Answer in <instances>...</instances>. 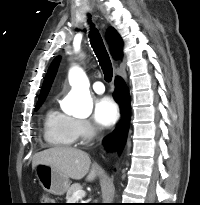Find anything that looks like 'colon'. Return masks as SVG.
<instances>
[{
	"instance_id": "1",
	"label": "colon",
	"mask_w": 200,
	"mask_h": 205,
	"mask_svg": "<svg viewBox=\"0 0 200 205\" xmlns=\"http://www.w3.org/2000/svg\"><path fill=\"white\" fill-rule=\"evenodd\" d=\"M38 205H54V204H53V200H52L50 195L42 194L40 196L39 204Z\"/></svg>"
}]
</instances>
